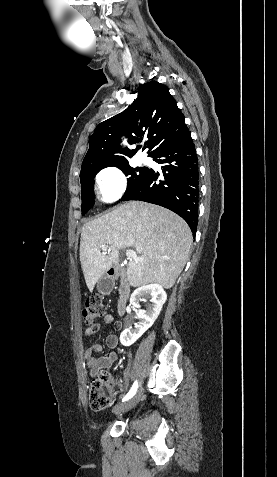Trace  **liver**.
Returning a JSON list of instances; mask_svg holds the SVG:
<instances>
[{"mask_svg":"<svg viewBox=\"0 0 277 477\" xmlns=\"http://www.w3.org/2000/svg\"><path fill=\"white\" fill-rule=\"evenodd\" d=\"M193 242L188 224L174 212L154 204L130 201L83 225L80 262L88 289L113 265L119 250L132 247L138 258L127 266L131 286L157 283L170 289L182 272ZM109 245L107 255L100 252Z\"/></svg>","mask_w":277,"mask_h":477,"instance_id":"obj_1","label":"liver"}]
</instances>
